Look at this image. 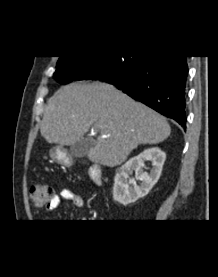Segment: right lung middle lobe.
I'll return each instance as SVG.
<instances>
[{
	"instance_id": "obj_1",
	"label": "right lung middle lobe",
	"mask_w": 218,
	"mask_h": 277,
	"mask_svg": "<svg viewBox=\"0 0 218 277\" xmlns=\"http://www.w3.org/2000/svg\"><path fill=\"white\" fill-rule=\"evenodd\" d=\"M139 56H60L54 78L61 84L84 79L87 75L104 77L106 81H125L147 59Z\"/></svg>"
}]
</instances>
